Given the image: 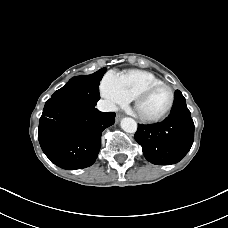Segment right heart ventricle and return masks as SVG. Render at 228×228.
Masks as SVG:
<instances>
[{
  "instance_id": "obj_1",
  "label": "right heart ventricle",
  "mask_w": 228,
  "mask_h": 228,
  "mask_svg": "<svg viewBox=\"0 0 228 228\" xmlns=\"http://www.w3.org/2000/svg\"><path fill=\"white\" fill-rule=\"evenodd\" d=\"M116 76L121 88L130 99H133L145 86L162 82V80L153 73L140 69H130Z\"/></svg>"
}]
</instances>
